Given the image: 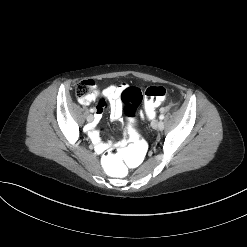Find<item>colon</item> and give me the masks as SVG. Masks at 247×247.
I'll use <instances>...</instances> for the list:
<instances>
[{"mask_svg": "<svg viewBox=\"0 0 247 247\" xmlns=\"http://www.w3.org/2000/svg\"><path fill=\"white\" fill-rule=\"evenodd\" d=\"M92 90L90 81H82L76 87V95L86 98ZM167 96V90L162 86H150L144 91V99L150 113ZM142 100V92L137 87L126 88L121 95L122 109L129 118H133L136 108ZM127 136L132 142L123 146L119 151L105 152L101 157V166L111 176L126 177L134 172L149 153V144L140 138L138 131L131 122Z\"/></svg>", "mask_w": 247, "mask_h": 247, "instance_id": "obj_1", "label": "colon"}]
</instances>
